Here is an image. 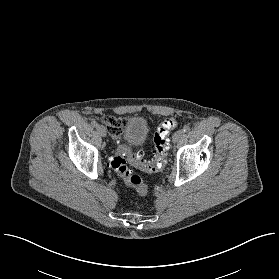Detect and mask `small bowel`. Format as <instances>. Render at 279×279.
Returning <instances> with one entry per match:
<instances>
[{
	"mask_svg": "<svg viewBox=\"0 0 279 279\" xmlns=\"http://www.w3.org/2000/svg\"><path fill=\"white\" fill-rule=\"evenodd\" d=\"M101 120L107 125L109 131L114 137L120 135L127 122V119H119V118H114L109 116H102ZM115 121H117L119 124L115 125L114 124Z\"/></svg>",
	"mask_w": 279,
	"mask_h": 279,
	"instance_id": "c3829d8e",
	"label": "small bowel"
}]
</instances>
